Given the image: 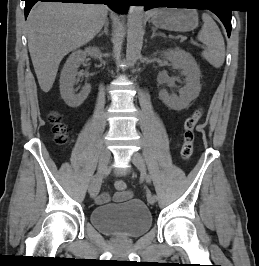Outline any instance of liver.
<instances>
[{"label": "liver", "instance_id": "6515ba94", "mask_svg": "<svg viewBox=\"0 0 259 266\" xmlns=\"http://www.w3.org/2000/svg\"><path fill=\"white\" fill-rule=\"evenodd\" d=\"M107 14L103 4L37 2L33 6L26 24L28 48L43 92L52 88L64 56L91 41Z\"/></svg>", "mask_w": 259, "mask_h": 266}]
</instances>
